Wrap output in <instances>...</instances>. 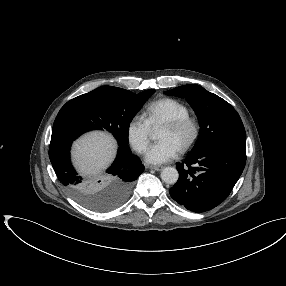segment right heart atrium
<instances>
[{"mask_svg": "<svg viewBox=\"0 0 286 286\" xmlns=\"http://www.w3.org/2000/svg\"><path fill=\"white\" fill-rule=\"evenodd\" d=\"M151 126L143 115H135L127 125L126 135L130 146L143 154L149 145Z\"/></svg>", "mask_w": 286, "mask_h": 286, "instance_id": "obj_1", "label": "right heart atrium"}]
</instances>
